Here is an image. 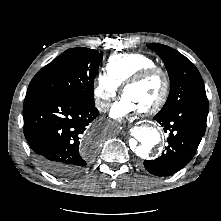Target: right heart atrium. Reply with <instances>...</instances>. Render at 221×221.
<instances>
[{"label":"right heart atrium","instance_id":"1","mask_svg":"<svg viewBox=\"0 0 221 221\" xmlns=\"http://www.w3.org/2000/svg\"><path fill=\"white\" fill-rule=\"evenodd\" d=\"M120 90V85L108 75L107 72H99L94 83V98L100 111H106L110 102Z\"/></svg>","mask_w":221,"mask_h":221}]
</instances>
